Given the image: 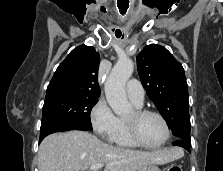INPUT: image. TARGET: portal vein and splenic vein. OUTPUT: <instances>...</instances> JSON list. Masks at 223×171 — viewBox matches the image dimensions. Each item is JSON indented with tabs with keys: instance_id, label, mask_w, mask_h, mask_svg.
Instances as JSON below:
<instances>
[{
	"instance_id": "1",
	"label": "portal vein and splenic vein",
	"mask_w": 223,
	"mask_h": 171,
	"mask_svg": "<svg viewBox=\"0 0 223 171\" xmlns=\"http://www.w3.org/2000/svg\"><path fill=\"white\" fill-rule=\"evenodd\" d=\"M103 167H104V164H93V165L90 166V170L91 171H96V170H98L100 168H103Z\"/></svg>"
}]
</instances>
